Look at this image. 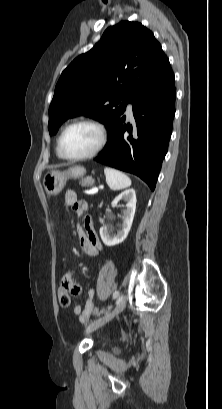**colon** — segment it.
<instances>
[{
  "mask_svg": "<svg viewBox=\"0 0 222 409\" xmlns=\"http://www.w3.org/2000/svg\"><path fill=\"white\" fill-rule=\"evenodd\" d=\"M72 275V273H70ZM69 290L70 287L69 285H65L62 283V286L60 287L58 291V300L59 303L62 307H69L71 304V296L69 295ZM91 313L94 314L96 318H100L102 316V313L99 311V307L95 306L93 310H91Z\"/></svg>",
  "mask_w": 222,
  "mask_h": 409,
  "instance_id": "obj_1",
  "label": "colon"
}]
</instances>
